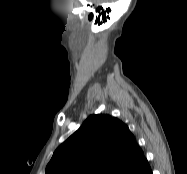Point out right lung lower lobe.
Masks as SVG:
<instances>
[{
  "instance_id": "1",
  "label": "right lung lower lobe",
  "mask_w": 187,
  "mask_h": 174,
  "mask_svg": "<svg viewBox=\"0 0 187 174\" xmlns=\"http://www.w3.org/2000/svg\"><path fill=\"white\" fill-rule=\"evenodd\" d=\"M146 174H152V172L150 171V172H147Z\"/></svg>"
}]
</instances>
